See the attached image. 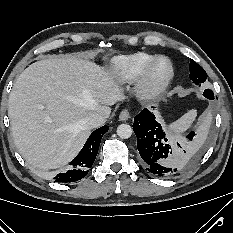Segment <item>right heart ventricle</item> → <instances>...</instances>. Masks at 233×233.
Returning <instances> with one entry per match:
<instances>
[{"mask_svg":"<svg viewBox=\"0 0 233 233\" xmlns=\"http://www.w3.org/2000/svg\"><path fill=\"white\" fill-rule=\"evenodd\" d=\"M155 58V55L147 52L118 56L111 61L110 73L117 81L129 83L137 79L142 70Z\"/></svg>","mask_w":233,"mask_h":233,"instance_id":"obj_1","label":"right heart ventricle"}]
</instances>
